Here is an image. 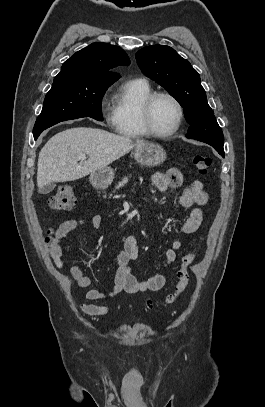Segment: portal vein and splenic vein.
Returning a JSON list of instances; mask_svg holds the SVG:
<instances>
[{"label": "portal vein and splenic vein", "mask_w": 265, "mask_h": 407, "mask_svg": "<svg viewBox=\"0 0 265 407\" xmlns=\"http://www.w3.org/2000/svg\"><path fill=\"white\" fill-rule=\"evenodd\" d=\"M79 159H81V160L86 159V155H81V156L79 157Z\"/></svg>", "instance_id": "portal-vein-and-splenic-vein-1"}]
</instances>
